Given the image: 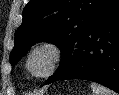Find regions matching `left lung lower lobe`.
<instances>
[{
  "mask_svg": "<svg viewBox=\"0 0 119 95\" xmlns=\"http://www.w3.org/2000/svg\"><path fill=\"white\" fill-rule=\"evenodd\" d=\"M68 79L97 82L119 93V0H114L86 30L71 67L51 76L47 84Z\"/></svg>",
  "mask_w": 119,
  "mask_h": 95,
  "instance_id": "1",
  "label": "left lung lower lobe"
}]
</instances>
